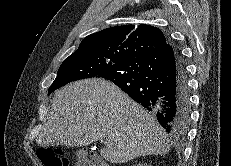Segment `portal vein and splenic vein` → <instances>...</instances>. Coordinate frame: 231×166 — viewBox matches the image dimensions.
<instances>
[{"mask_svg":"<svg viewBox=\"0 0 231 166\" xmlns=\"http://www.w3.org/2000/svg\"><path fill=\"white\" fill-rule=\"evenodd\" d=\"M101 142L107 144L109 142V140H107V139H101Z\"/></svg>","mask_w":231,"mask_h":166,"instance_id":"obj_1","label":"portal vein and splenic vein"}]
</instances>
